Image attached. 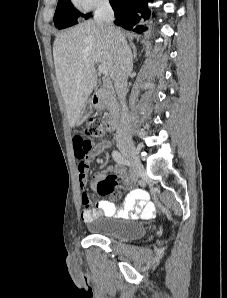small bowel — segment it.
Segmentation results:
<instances>
[{"label":"small bowel","instance_id":"obj_1","mask_svg":"<svg viewBox=\"0 0 227 298\" xmlns=\"http://www.w3.org/2000/svg\"><path fill=\"white\" fill-rule=\"evenodd\" d=\"M85 134H74V139H71V147L74 150V158L79 159L78 177L81 188H86L88 177V167L92 159L102 154L110 147L108 141H104L97 145L93 142H83ZM116 170L119 174L124 175V171L120 168H108V171ZM105 175V172H99L95 175L97 182ZM83 201L85 207L81 211V219L84 222H90L98 217L105 216L110 218H131V219H150L154 216L156 207L153 202L149 201L148 194L143 190H135L129 193L124 201L117 206L109 200H101L96 205H91L89 197L84 194Z\"/></svg>","mask_w":227,"mask_h":298}]
</instances>
